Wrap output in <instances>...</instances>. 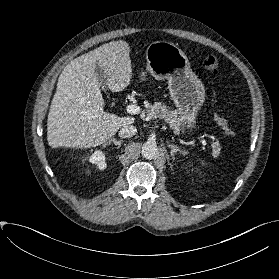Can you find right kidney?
I'll return each mask as SVG.
<instances>
[{
  "label": "right kidney",
  "instance_id": "ca27d5eb",
  "mask_svg": "<svg viewBox=\"0 0 279 279\" xmlns=\"http://www.w3.org/2000/svg\"><path fill=\"white\" fill-rule=\"evenodd\" d=\"M86 160L95 164L100 170H104L107 167L105 153L101 150H95L92 154H87L83 161Z\"/></svg>",
  "mask_w": 279,
  "mask_h": 279
}]
</instances>
